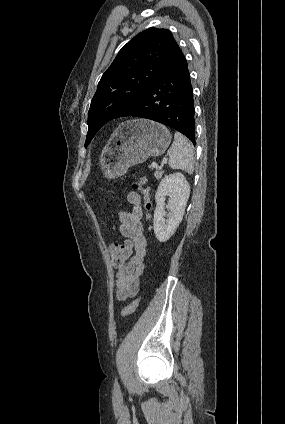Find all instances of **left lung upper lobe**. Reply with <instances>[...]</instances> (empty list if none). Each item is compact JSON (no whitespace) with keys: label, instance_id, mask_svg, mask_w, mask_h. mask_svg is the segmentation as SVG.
I'll use <instances>...</instances> for the list:
<instances>
[{"label":"left lung upper lobe","instance_id":"left-lung-upper-lobe-1","mask_svg":"<svg viewBox=\"0 0 285 424\" xmlns=\"http://www.w3.org/2000/svg\"><path fill=\"white\" fill-rule=\"evenodd\" d=\"M176 46L169 30L149 28L119 51L91 101L85 147L103 125L132 105L158 78Z\"/></svg>","mask_w":285,"mask_h":424}]
</instances>
